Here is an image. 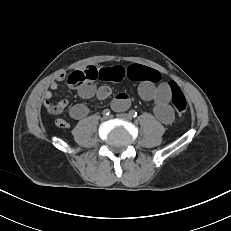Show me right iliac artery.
<instances>
[{"label": "right iliac artery", "mask_w": 231, "mask_h": 231, "mask_svg": "<svg viewBox=\"0 0 231 231\" xmlns=\"http://www.w3.org/2000/svg\"><path fill=\"white\" fill-rule=\"evenodd\" d=\"M110 114V110L109 109H104L103 110V115L107 116Z\"/></svg>", "instance_id": "obj_1"}]
</instances>
